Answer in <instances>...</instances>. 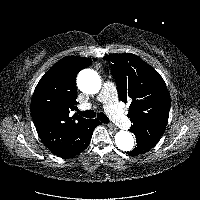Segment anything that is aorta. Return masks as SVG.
<instances>
[{
    "label": "aorta",
    "instance_id": "aorta-1",
    "mask_svg": "<svg viewBox=\"0 0 200 200\" xmlns=\"http://www.w3.org/2000/svg\"><path fill=\"white\" fill-rule=\"evenodd\" d=\"M78 88L86 94H96L102 86L98 73L92 69L82 70L77 77ZM116 146L122 151H131L134 147V137L128 131L121 130L115 135Z\"/></svg>",
    "mask_w": 200,
    "mask_h": 200
}]
</instances>
